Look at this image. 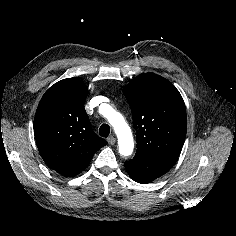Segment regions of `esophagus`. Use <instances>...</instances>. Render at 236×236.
<instances>
[{
	"label": "esophagus",
	"mask_w": 236,
	"mask_h": 236,
	"mask_svg": "<svg viewBox=\"0 0 236 236\" xmlns=\"http://www.w3.org/2000/svg\"><path fill=\"white\" fill-rule=\"evenodd\" d=\"M107 142H108L109 145H114L115 142H116V138H114V137H109V138L107 139Z\"/></svg>",
	"instance_id": "obj_1"
}]
</instances>
